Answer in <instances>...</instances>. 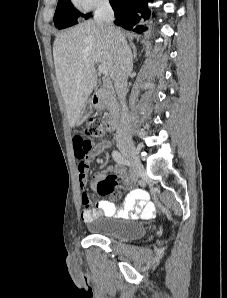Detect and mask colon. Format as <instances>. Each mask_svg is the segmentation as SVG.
I'll use <instances>...</instances> for the list:
<instances>
[{"mask_svg":"<svg viewBox=\"0 0 227 298\" xmlns=\"http://www.w3.org/2000/svg\"><path fill=\"white\" fill-rule=\"evenodd\" d=\"M85 139L83 142H92L87 137L102 138L106 134L103 122L97 118H91L84 127ZM84 159V158H78ZM117 187L132 188L131 181L113 174H106L96 182L97 192L101 195L111 194Z\"/></svg>","mask_w":227,"mask_h":298,"instance_id":"1","label":"colon"}]
</instances>
